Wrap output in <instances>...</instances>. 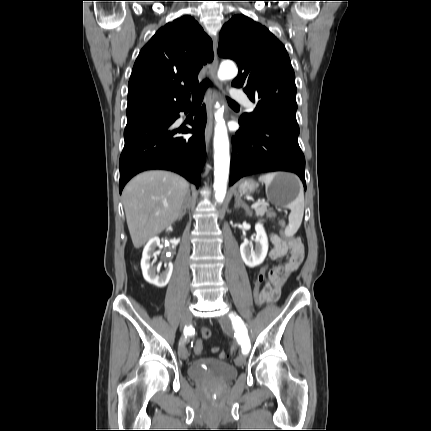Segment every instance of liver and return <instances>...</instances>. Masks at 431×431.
<instances>
[{"label":"liver","instance_id":"6515ba94","mask_svg":"<svg viewBox=\"0 0 431 431\" xmlns=\"http://www.w3.org/2000/svg\"><path fill=\"white\" fill-rule=\"evenodd\" d=\"M189 183L167 171H147L134 177L122 193L135 248L171 226L180 216Z\"/></svg>","mask_w":431,"mask_h":431}]
</instances>
